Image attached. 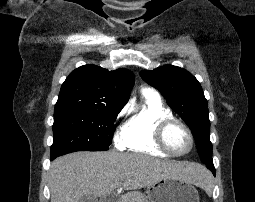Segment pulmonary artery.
Wrapping results in <instances>:
<instances>
[{"instance_id": "1", "label": "pulmonary artery", "mask_w": 255, "mask_h": 202, "mask_svg": "<svg viewBox=\"0 0 255 202\" xmlns=\"http://www.w3.org/2000/svg\"><path fill=\"white\" fill-rule=\"evenodd\" d=\"M142 92L144 95H152L155 97H159L158 93L151 88H144Z\"/></svg>"}]
</instances>
